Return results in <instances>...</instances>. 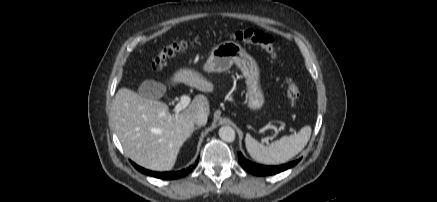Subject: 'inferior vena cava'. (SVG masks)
<instances>
[{
	"label": "inferior vena cava",
	"instance_id": "inferior-vena-cava-1",
	"mask_svg": "<svg viewBox=\"0 0 437 202\" xmlns=\"http://www.w3.org/2000/svg\"><path fill=\"white\" fill-rule=\"evenodd\" d=\"M208 114L206 112H199L194 117V123L198 126H204L207 123Z\"/></svg>",
	"mask_w": 437,
	"mask_h": 202
}]
</instances>
